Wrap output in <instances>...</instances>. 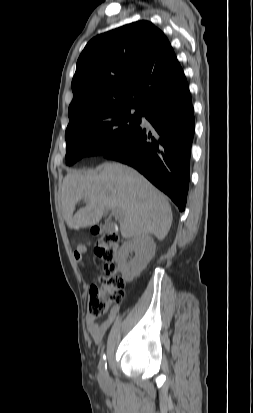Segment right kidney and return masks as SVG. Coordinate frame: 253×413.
Returning a JSON list of instances; mask_svg holds the SVG:
<instances>
[{
    "instance_id": "1",
    "label": "right kidney",
    "mask_w": 253,
    "mask_h": 413,
    "mask_svg": "<svg viewBox=\"0 0 253 413\" xmlns=\"http://www.w3.org/2000/svg\"><path fill=\"white\" fill-rule=\"evenodd\" d=\"M156 244L150 235H141L125 242L115 260L118 270L126 281H132L146 268L155 255ZM134 257L128 261L129 254Z\"/></svg>"
}]
</instances>
